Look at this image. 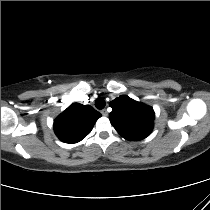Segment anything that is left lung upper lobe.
<instances>
[{
	"label": "left lung upper lobe",
	"mask_w": 210,
	"mask_h": 210,
	"mask_svg": "<svg viewBox=\"0 0 210 210\" xmlns=\"http://www.w3.org/2000/svg\"><path fill=\"white\" fill-rule=\"evenodd\" d=\"M110 107L113 109L109 114L111 124L125 139L142 140L152 132L155 115L151 107L128 96L116 98Z\"/></svg>",
	"instance_id": "left-lung-upper-lobe-1"
}]
</instances>
